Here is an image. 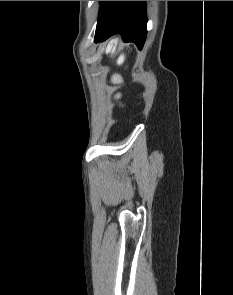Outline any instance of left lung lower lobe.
Returning <instances> with one entry per match:
<instances>
[{
  "mask_svg": "<svg viewBox=\"0 0 233 295\" xmlns=\"http://www.w3.org/2000/svg\"><path fill=\"white\" fill-rule=\"evenodd\" d=\"M145 1H101L95 42L104 41L114 34H121L123 41L143 47L146 30Z\"/></svg>",
  "mask_w": 233,
  "mask_h": 295,
  "instance_id": "left-lung-lower-lobe-1",
  "label": "left lung lower lobe"
}]
</instances>
